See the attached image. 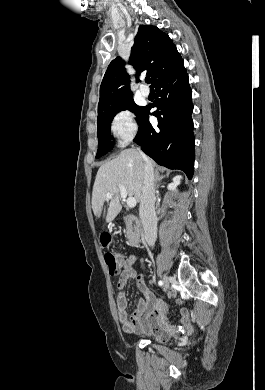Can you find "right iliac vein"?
<instances>
[{
  "mask_svg": "<svg viewBox=\"0 0 265 390\" xmlns=\"http://www.w3.org/2000/svg\"><path fill=\"white\" fill-rule=\"evenodd\" d=\"M164 289L167 290L170 286V278L168 276L163 277Z\"/></svg>",
  "mask_w": 265,
  "mask_h": 390,
  "instance_id": "1",
  "label": "right iliac vein"
}]
</instances>
